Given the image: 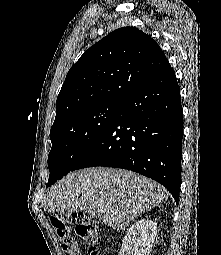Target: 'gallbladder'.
Masks as SVG:
<instances>
[{
	"label": "gallbladder",
	"mask_w": 221,
	"mask_h": 255,
	"mask_svg": "<svg viewBox=\"0 0 221 255\" xmlns=\"http://www.w3.org/2000/svg\"><path fill=\"white\" fill-rule=\"evenodd\" d=\"M88 213L91 214L92 216H96L97 215L95 210H89Z\"/></svg>",
	"instance_id": "obj_1"
}]
</instances>
